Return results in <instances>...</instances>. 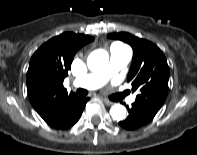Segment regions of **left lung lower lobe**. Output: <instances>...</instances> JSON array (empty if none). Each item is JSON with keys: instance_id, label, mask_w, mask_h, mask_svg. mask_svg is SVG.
Masks as SVG:
<instances>
[{"instance_id": "obj_1", "label": "left lung lower lobe", "mask_w": 197, "mask_h": 155, "mask_svg": "<svg viewBox=\"0 0 197 155\" xmlns=\"http://www.w3.org/2000/svg\"><path fill=\"white\" fill-rule=\"evenodd\" d=\"M129 116L124 121H120L119 125L128 130L137 129L148 123L155 114L145 109L137 103H133L132 107L127 106Z\"/></svg>"}]
</instances>
